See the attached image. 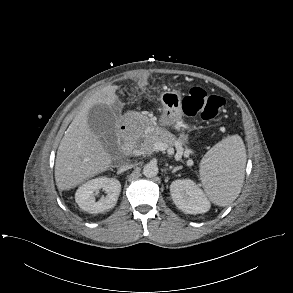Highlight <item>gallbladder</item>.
Wrapping results in <instances>:
<instances>
[{"mask_svg": "<svg viewBox=\"0 0 293 293\" xmlns=\"http://www.w3.org/2000/svg\"><path fill=\"white\" fill-rule=\"evenodd\" d=\"M116 123V114L105 104H96L88 112V125L91 131L105 140L115 138L114 128Z\"/></svg>", "mask_w": 293, "mask_h": 293, "instance_id": "obj_1", "label": "gallbladder"}]
</instances>
